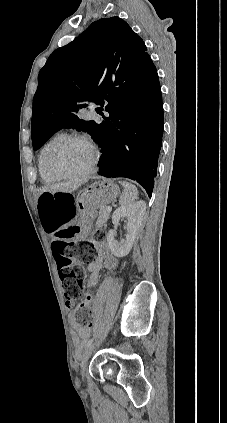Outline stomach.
Wrapping results in <instances>:
<instances>
[{"mask_svg":"<svg viewBox=\"0 0 227 423\" xmlns=\"http://www.w3.org/2000/svg\"><path fill=\"white\" fill-rule=\"evenodd\" d=\"M119 194L120 190L112 180L94 182L79 192L75 202L76 208L78 211H95L99 206L114 202Z\"/></svg>","mask_w":227,"mask_h":423,"instance_id":"obj_1","label":"stomach"}]
</instances>
